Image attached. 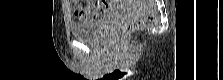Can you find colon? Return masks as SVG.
<instances>
[{"instance_id": "obj_1", "label": "colon", "mask_w": 223, "mask_h": 80, "mask_svg": "<svg viewBox=\"0 0 223 80\" xmlns=\"http://www.w3.org/2000/svg\"><path fill=\"white\" fill-rule=\"evenodd\" d=\"M72 2L78 5H82L79 0H73ZM155 22H156L155 14L150 13L137 22L127 23L121 26L119 29H117L114 32L113 39L117 40V39L123 38L128 33L135 30L136 28L141 27V26H150V25H153Z\"/></svg>"}]
</instances>
